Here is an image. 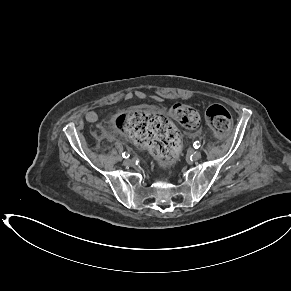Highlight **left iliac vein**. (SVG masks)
I'll return each instance as SVG.
<instances>
[{
    "label": "left iliac vein",
    "instance_id": "obj_1",
    "mask_svg": "<svg viewBox=\"0 0 291 291\" xmlns=\"http://www.w3.org/2000/svg\"><path fill=\"white\" fill-rule=\"evenodd\" d=\"M200 158H201V152H200V151H195V152L193 153L192 159H193L194 161H197V160H199Z\"/></svg>",
    "mask_w": 291,
    "mask_h": 291
}]
</instances>
